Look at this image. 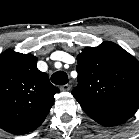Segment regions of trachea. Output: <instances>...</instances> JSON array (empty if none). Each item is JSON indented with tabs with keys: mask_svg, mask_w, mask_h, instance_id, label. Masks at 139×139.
<instances>
[{
	"mask_svg": "<svg viewBox=\"0 0 139 139\" xmlns=\"http://www.w3.org/2000/svg\"><path fill=\"white\" fill-rule=\"evenodd\" d=\"M51 81L56 85H65L68 83V76L65 72L57 71L51 76Z\"/></svg>",
	"mask_w": 139,
	"mask_h": 139,
	"instance_id": "1",
	"label": "trachea"
}]
</instances>
